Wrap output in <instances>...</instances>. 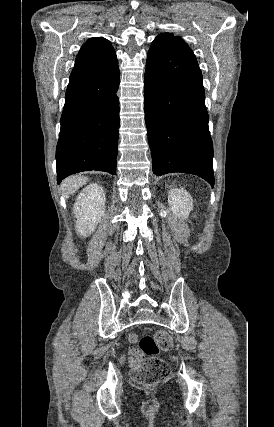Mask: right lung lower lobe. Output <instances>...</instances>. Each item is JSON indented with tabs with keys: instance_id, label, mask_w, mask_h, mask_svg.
I'll list each match as a JSON object with an SVG mask.
<instances>
[{
	"instance_id": "right-lung-lower-lobe-1",
	"label": "right lung lower lobe",
	"mask_w": 274,
	"mask_h": 427,
	"mask_svg": "<svg viewBox=\"0 0 274 427\" xmlns=\"http://www.w3.org/2000/svg\"><path fill=\"white\" fill-rule=\"evenodd\" d=\"M119 78L117 61L97 73L70 78L56 150L58 184L81 171L116 174Z\"/></svg>"
}]
</instances>
